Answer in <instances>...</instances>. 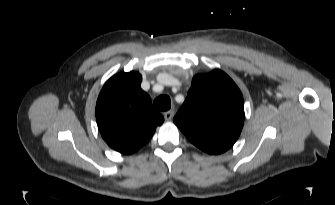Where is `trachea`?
<instances>
[{
	"instance_id": "obj_1",
	"label": "trachea",
	"mask_w": 335,
	"mask_h": 205,
	"mask_svg": "<svg viewBox=\"0 0 335 205\" xmlns=\"http://www.w3.org/2000/svg\"><path fill=\"white\" fill-rule=\"evenodd\" d=\"M153 103L154 106L160 111H167L171 107V101L167 95L158 96Z\"/></svg>"
}]
</instances>
